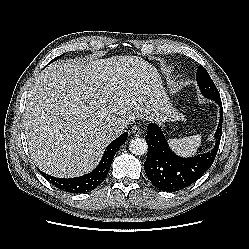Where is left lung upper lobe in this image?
<instances>
[{"label": "left lung upper lobe", "mask_w": 249, "mask_h": 249, "mask_svg": "<svg viewBox=\"0 0 249 249\" xmlns=\"http://www.w3.org/2000/svg\"><path fill=\"white\" fill-rule=\"evenodd\" d=\"M196 80L203 96L214 101L221 100L220 94L213 80L211 79L205 68L201 65L197 70Z\"/></svg>", "instance_id": "5c2ea615"}]
</instances>
